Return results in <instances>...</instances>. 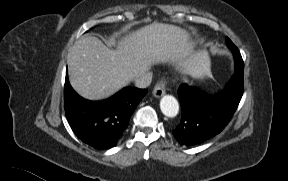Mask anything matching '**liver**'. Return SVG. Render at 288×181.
<instances>
[{
  "instance_id": "liver-1",
  "label": "liver",
  "mask_w": 288,
  "mask_h": 181,
  "mask_svg": "<svg viewBox=\"0 0 288 181\" xmlns=\"http://www.w3.org/2000/svg\"><path fill=\"white\" fill-rule=\"evenodd\" d=\"M194 43L186 30L154 22L121 37L116 50L94 36H84L68 53V73L74 90L89 100L107 98L136 76L158 63H176L186 73L201 75L193 54Z\"/></svg>"
}]
</instances>
